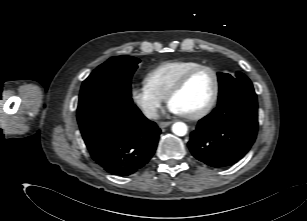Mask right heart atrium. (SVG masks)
Here are the masks:
<instances>
[{"mask_svg": "<svg viewBox=\"0 0 307 221\" xmlns=\"http://www.w3.org/2000/svg\"><path fill=\"white\" fill-rule=\"evenodd\" d=\"M133 103L149 119L157 117L163 98L154 94L145 84L134 86L130 92Z\"/></svg>", "mask_w": 307, "mask_h": 221, "instance_id": "right-heart-atrium-1", "label": "right heart atrium"}]
</instances>
